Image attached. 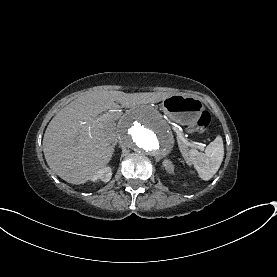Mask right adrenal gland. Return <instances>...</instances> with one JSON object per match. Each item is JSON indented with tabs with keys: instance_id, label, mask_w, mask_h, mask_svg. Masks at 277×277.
Masks as SVG:
<instances>
[{
	"instance_id": "2a0ac1e0",
	"label": "right adrenal gland",
	"mask_w": 277,
	"mask_h": 277,
	"mask_svg": "<svg viewBox=\"0 0 277 277\" xmlns=\"http://www.w3.org/2000/svg\"><path fill=\"white\" fill-rule=\"evenodd\" d=\"M116 143H117V142H115V143L113 144V147H114V148H115V146H116Z\"/></svg>"
}]
</instances>
